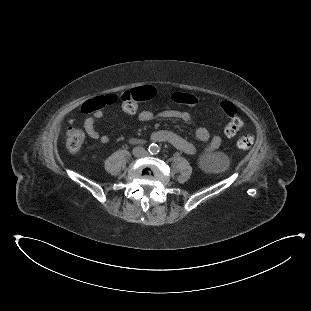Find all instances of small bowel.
Listing matches in <instances>:
<instances>
[{"instance_id": "small-bowel-1", "label": "small bowel", "mask_w": 311, "mask_h": 311, "mask_svg": "<svg viewBox=\"0 0 311 311\" xmlns=\"http://www.w3.org/2000/svg\"><path fill=\"white\" fill-rule=\"evenodd\" d=\"M102 116L103 113L99 111L94 113L92 117H88L84 122V129L86 134L90 138L99 139L101 143L107 144L109 142V137L107 135H100L99 131L96 129V120L100 119ZM156 116L168 119H179L187 123L192 122V117L187 111L172 109L161 111L158 114L150 109H145L139 113L138 118L142 122H149L153 120ZM196 137L202 142H208L202 150H199L193 143L189 142L182 136L166 130L154 132L151 135V140L154 142L169 143L175 148L189 155H197L199 153H211L216 150L221 143L220 137L216 135L211 137L208 129L205 127L197 128Z\"/></svg>"}]
</instances>
